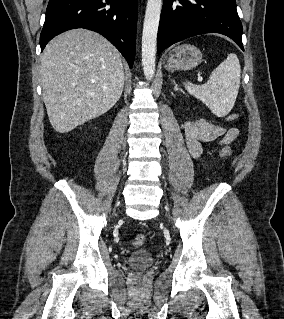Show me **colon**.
<instances>
[{"mask_svg":"<svg viewBox=\"0 0 284 319\" xmlns=\"http://www.w3.org/2000/svg\"><path fill=\"white\" fill-rule=\"evenodd\" d=\"M238 118V114L236 113H231L229 115L226 116V119L228 121H234ZM220 153L221 155L223 156H229L231 154V151L229 148L227 147H224L220 150ZM147 242V236L144 235V234H137L133 240H132V244L135 246V247H140V246H143L145 243Z\"/></svg>","mask_w":284,"mask_h":319,"instance_id":"5ec220e1","label":"colon"}]
</instances>
